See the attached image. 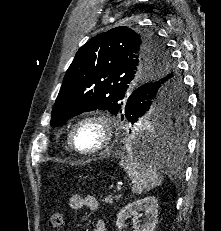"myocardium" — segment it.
Returning a JSON list of instances; mask_svg holds the SVG:
<instances>
[{
	"label": "myocardium",
	"instance_id": "1",
	"mask_svg": "<svg viewBox=\"0 0 221 231\" xmlns=\"http://www.w3.org/2000/svg\"><path fill=\"white\" fill-rule=\"evenodd\" d=\"M87 122H97L101 125L103 129V141L102 143L92 150H81L78 148L76 144V133L78 128ZM114 140V126L112 118L103 112H93L82 116L78 119L75 124L73 125L71 132H70V145L72 149L82 155V156H95L97 154L102 153L106 149L110 148Z\"/></svg>",
	"mask_w": 221,
	"mask_h": 231
}]
</instances>
